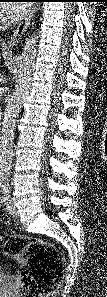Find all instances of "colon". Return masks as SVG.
Returning <instances> with one entry per match:
<instances>
[{
  "label": "colon",
  "mask_w": 107,
  "mask_h": 297,
  "mask_svg": "<svg viewBox=\"0 0 107 297\" xmlns=\"http://www.w3.org/2000/svg\"><path fill=\"white\" fill-rule=\"evenodd\" d=\"M1 243L4 254L22 266L17 285L23 297H45L54 292L65 262L53 245L23 235L5 236Z\"/></svg>",
  "instance_id": "colon-1"
}]
</instances>
